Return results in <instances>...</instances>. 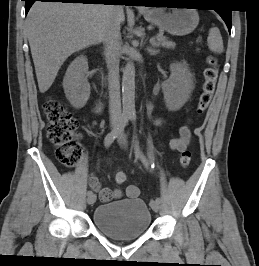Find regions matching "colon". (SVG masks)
<instances>
[{"label": "colon", "mask_w": 259, "mask_h": 266, "mask_svg": "<svg viewBox=\"0 0 259 266\" xmlns=\"http://www.w3.org/2000/svg\"><path fill=\"white\" fill-rule=\"evenodd\" d=\"M208 66L204 70V82L199 97L196 112L202 114L210 105L216 87L218 69L214 57L207 58ZM44 115L47 122V137L56 149L57 159L66 167L75 166L82 157V147L78 141V121L68 111L66 106L56 99L49 98L44 103ZM182 167L191 163V153L183 151L179 158ZM117 184L126 181V174L122 171L115 175Z\"/></svg>", "instance_id": "obj_1"}]
</instances>
